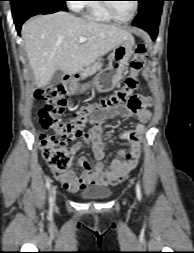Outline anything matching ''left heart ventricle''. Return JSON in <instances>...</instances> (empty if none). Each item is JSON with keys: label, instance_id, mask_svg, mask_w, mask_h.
Wrapping results in <instances>:
<instances>
[{"label": "left heart ventricle", "instance_id": "1", "mask_svg": "<svg viewBox=\"0 0 194 253\" xmlns=\"http://www.w3.org/2000/svg\"><path fill=\"white\" fill-rule=\"evenodd\" d=\"M110 5L114 13L121 19L129 18L134 9V1H115Z\"/></svg>", "mask_w": 194, "mask_h": 253}]
</instances>
